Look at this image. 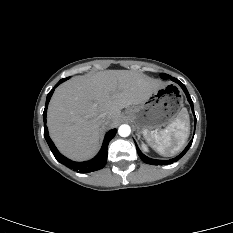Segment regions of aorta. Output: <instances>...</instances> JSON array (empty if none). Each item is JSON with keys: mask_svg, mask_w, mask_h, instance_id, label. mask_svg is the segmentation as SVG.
Masks as SVG:
<instances>
[{"mask_svg": "<svg viewBox=\"0 0 233 233\" xmlns=\"http://www.w3.org/2000/svg\"><path fill=\"white\" fill-rule=\"evenodd\" d=\"M131 133V128L129 125L127 124H123L119 127L118 129V134L121 136V137H127L129 136Z\"/></svg>", "mask_w": 233, "mask_h": 233, "instance_id": "762f6f07", "label": "aorta"}]
</instances>
